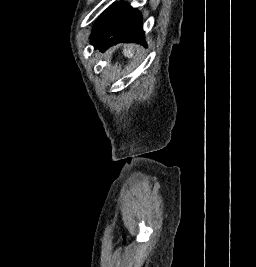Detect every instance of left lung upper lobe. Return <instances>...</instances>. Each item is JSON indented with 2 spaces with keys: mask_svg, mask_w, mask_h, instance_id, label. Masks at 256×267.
<instances>
[{
  "mask_svg": "<svg viewBox=\"0 0 256 267\" xmlns=\"http://www.w3.org/2000/svg\"><path fill=\"white\" fill-rule=\"evenodd\" d=\"M141 19V14L126 3L113 4L95 24L91 43L100 51L118 42L145 45Z\"/></svg>",
  "mask_w": 256,
  "mask_h": 267,
  "instance_id": "5c2ea615",
  "label": "left lung upper lobe"
}]
</instances>
